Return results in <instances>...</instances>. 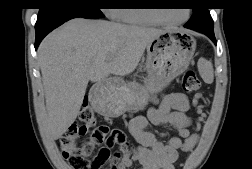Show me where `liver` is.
<instances>
[{
	"instance_id": "6515ba94",
	"label": "liver",
	"mask_w": 252,
	"mask_h": 169,
	"mask_svg": "<svg viewBox=\"0 0 252 169\" xmlns=\"http://www.w3.org/2000/svg\"><path fill=\"white\" fill-rule=\"evenodd\" d=\"M161 32L153 27L75 18L47 35L38 48V61L50 137L60 138L75 121L89 81L132 73L147 45Z\"/></svg>"
}]
</instances>
